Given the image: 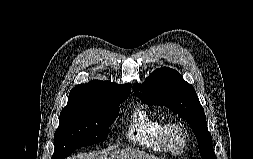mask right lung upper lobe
I'll use <instances>...</instances> for the list:
<instances>
[{
  "label": "right lung upper lobe",
  "instance_id": "1",
  "mask_svg": "<svg viewBox=\"0 0 253 159\" xmlns=\"http://www.w3.org/2000/svg\"><path fill=\"white\" fill-rule=\"evenodd\" d=\"M131 92L130 84H117L111 81L92 80L75 86L68 101L126 99Z\"/></svg>",
  "mask_w": 253,
  "mask_h": 159
}]
</instances>
